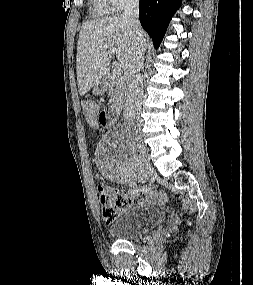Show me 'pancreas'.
I'll return each instance as SVG.
<instances>
[{"label": "pancreas", "mask_w": 253, "mask_h": 285, "mask_svg": "<svg viewBox=\"0 0 253 285\" xmlns=\"http://www.w3.org/2000/svg\"><path fill=\"white\" fill-rule=\"evenodd\" d=\"M105 86L109 97L110 108L120 112L123 108L127 91L124 80H113L108 77Z\"/></svg>", "instance_id": "cf45deb5"}]
</instances>
